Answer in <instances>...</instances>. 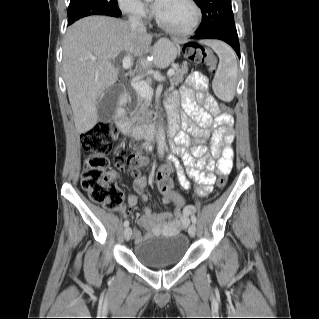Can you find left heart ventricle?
I'll return each instance as SVG.
<instances>
[{"instance_id":"obj_1","label":"left heart ventricle","mask_w":319,"mask_h":319,"mask_svg":"<svg viewBox=\"0 0 319 319\" xmlns=\"http://www.w3.org/2000/svg\"><path fill=\"white\" fill-rule=\"evenodd\" d=\"M159 3L156 13L166 24L185 28L191 23L194 11L185 0H161Z\"/></svg>"}]
</instances>
